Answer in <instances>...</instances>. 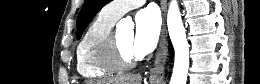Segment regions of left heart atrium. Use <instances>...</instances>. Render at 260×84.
I'll use <instances>...</instances> for the list:
<instances>
[{
	"label": "left heart atrium",
	"instance_id": "39dd6f15",
	"mask_svg": "<svg viewBox=\"0 0 260 84\" xmlns=\"http://www.w3.org/2000/svg\"><path fill=\"white\" fill-rule=\"evenodd\" d=\"M161 30V21L154 8H146L135 16V35L133 51L135 56L143 57L156 47Z\"/></svg>",
	"mask_w": 260,
	"mask_h": 84
}]
</instances>
